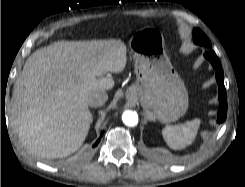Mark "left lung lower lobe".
I'll return each mask as SVG.
<instances>
[{"label": "left lung lower lobe", "instance_id": "obj_1", "mask_svg": "<svg viewBox=\"0 0 245 187\" xmlns=\"http://www.w3.org/2000/svg\"><path fill=\"white\" fill-rule=\"evenodd\" d=\"M204 57L210 61L216 71V80L219 86V110L217 122L222 123L227 115V95L224 86V74L221 68L220 61L214 51H208Z\"/></svg>", "mask_w": 245, "mask_h": 187}]
</instances>
